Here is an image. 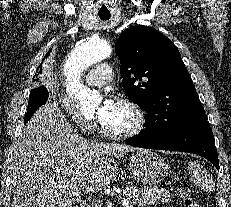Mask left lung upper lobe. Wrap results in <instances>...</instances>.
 I'll use <instances>...</instances> for the list:
<instances>
[{"label": "left lung upper lobe", "mask_w": 231, "mask_h": 207, "mask_svg": "<svg viewBox=\"0 0 231 207\" xmlns=\"http://www.w3.org/2000/svg\"><path fill=\"white\" fill-rule=\"evenodd\" d=\"M128 98L147 112L144 136L164 138L207 121L177 47L146 26L126 29L116 43Z\"/></svg>", "instance_id": "5c2ea615"}]
</instances>
